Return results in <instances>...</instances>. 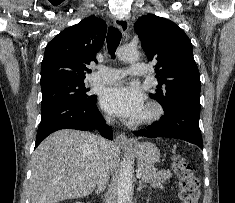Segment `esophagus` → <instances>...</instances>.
<instances>
[{
  "mask_svg": "<svg viewBox=\"0 0 235 203\" xmlns=\"http://www.w3.org/2000/svg\"><path fill=\"white\" fill-rule=\"evenodd\" d=\"M114 25L116 28H118L123 35H126L129 29V22L127 19H119L115 18L114 19ZM116 142L118 143L119 146H130L132 145L131 139L128 138L127 135L124 133H118L116 136Z\"/></svg>",
  "mask_w": 235,
  "mask_h": 203,
  "instance_id": "obj_1",
  "label": "esophagus"
}]
</instances>
